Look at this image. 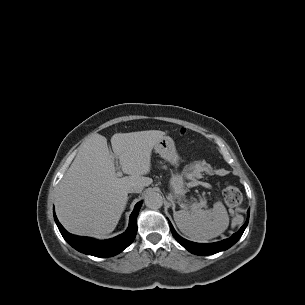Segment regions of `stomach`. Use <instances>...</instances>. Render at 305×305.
<instances>
[{
  "label": "stomach",
  "instance_id": "0dacf381",
  "mask_svg": "<svg viewBox=\"0 0 305 305\" xmlns=\"http://www.w3.org/2000/svg\"><path fill=\"white\" fill-rule=\"evenodd\" d=\"M155 152L170 164L177 166L180 157L177 153L175 143L169 136L162 137L154 146ZM170 186L173 192V198L180 200L187 192L183 174H172Z\"/></svg>",
  "mask_w": 305,
  "mask_h": 305
}]
</instances>
